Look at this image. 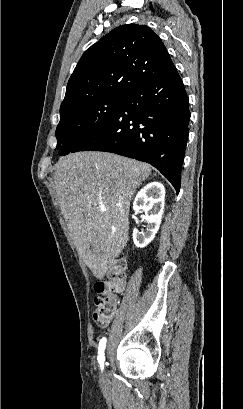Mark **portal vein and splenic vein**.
<instances>
[{
  "label": "portal vein and splenic vein",
  "instance_id": "18ae733b",
  "mask_svg": "<svg viewBox=\"0 0 243 409\" xmlns=\"http://www.w3.org/2000/svg\"><path fill=\"white\" fill-rule=\"evenodd\" d=\"M105 210H106L105 206L101 205V206H100V211H101V212H104Z\"/></svg>",
  "mask_w": 243,
  "mask_h": 409
}]
</instances>
